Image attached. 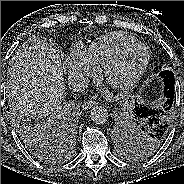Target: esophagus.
<instances>
[{
  "instance_id": "obj_1",
  "label": "esophagus",
  "mask_w": 184,
  "mask_h": 184,
  "mask_svg": "<svg viewBox=\"0 0 184 184\" xmlns=\"http://www.w3.org/2000/svg\"><path fill=\"white\" fill-rule=\"evenodd\" d=\"M95 105H96V102L90 100V101H86V102L83 104V108H84L85 110H88V109H90L91 107H93V106H95Z\"/></svg>"
}]
</instances>
